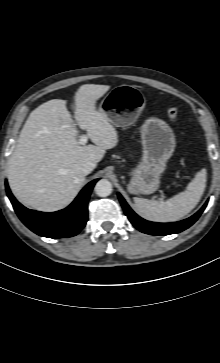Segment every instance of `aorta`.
I'll return each mask as SVG.
<instances>
[{
  "mask_svg": "<svg viewBox=\"0 0 220 363\" xmlns=\"http://www.w3.org/2000/svg\"><path fill=\"white\" fill-rule=\"evenodd\" d=\"M94 190L98 196L107 197L112 193V184L107 179H101L96 183Z\"/></svg>",
  "mask_w": 220,
  "mask_h": 363,
  "instance_id": "1",
  "label": "aorta"
}]
</instances>
